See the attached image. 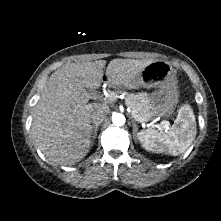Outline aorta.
<instances>
[{"label":"aorta","mask_w":221,"mask_h":221,"mask_svg":"<svg viewBox=\"0 0 221 221\" xmlns=\"http://www.w3.org/2000/svg\"><path fill=\"white\" fill-rule=\"evenodd\" d=\"M125 116L120 113H113L112 115V122L115 126H122L125 124Z\"/></svg>","instance_id":"obj_1"}]
</instances>
